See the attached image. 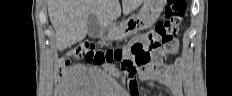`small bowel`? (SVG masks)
Here are the masks:
<instances>
[{
  "label": "small bowel",
  "instance_id": "1",
  "mask_svg": "<svg viewBox=\"0 0 232 96\" xmlns=\"http://www.w3.org/2000/svg\"><path fill=\"white\" fill-rule=\"evenodd\" d=\"M148 35L149 33L140 34L136 36L130 42L129 47L135 44H140L145 46L148 41ZM172 46H173L172 53L177 52L178 42L175 41L172 44ZM180 67H181V63L180 61H177L174 65L161 68L160 71H153V70L145 71L141 73L139 78L142 81H147V80L157 81L160 84L167 87L173 96H182L183 90H182V80L180 75ZM108 69L112 70V67H108ZM130 87H131V93H129V96H141V94L137 93L136 91L137 82L135 80L130 81Z\"/></svg>",
  "mask_w": 232,
  "mask_h": 96
}]
</instances>
